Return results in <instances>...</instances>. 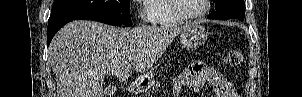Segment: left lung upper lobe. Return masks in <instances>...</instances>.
<instances>
[{
	"mask_svg": "<svg viewBox=\"0 0 302 97\" xmlns=\"http://www.w3.org/2000/svg\"><path fill=\"white\" fill-rule=\"evenodd\" d=\"M218 7L211 15L216 19L244 20V0H213Z\"/></svg>",
	"mask_w": 302,
	"mask_h": 97,
	"instance_id": "obj_1",
	"label": "left lung upper lobe"
}]
</instances>
